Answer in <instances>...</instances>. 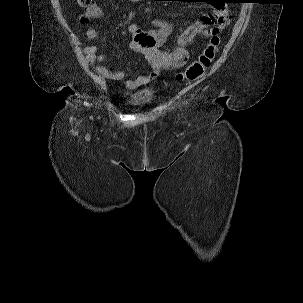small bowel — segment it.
Instances as JSON below:
<instances>
[{
	"mask_svg": "<svg viewBox=\"0 0 303 303\" xmlns=\"http://www.w3.org/2000/svg\"><path fill=\"white\" fill-rule=\"evenodd\" d=\"M138 2L140 0H130ZM104 14L103 8L98 4H92L87 8V17L96 19ZM229 22V11L226 6L215 9L202 15L195 23L185 29L177 38L170 49H162L167 43L171 33L172 25L162 19H154L151 22L152 29L148 32L142 31L138 24H130L128 32L133 35L130 44L132 50L144 55L149 70L147 73L134 80H128L125 87L130 90L141 89L151 84L163 69H177L183 67L189 57L186 45L194 41L197 36L219 33ZM87 35L95 37L96 31L91 27ZM146 39L150 41L147 42ZM97 45L87 46L84 49L86 58L101 78L107 81H119L125 76L121 69L110 70L102 64L106 62L107 56L99 53Z\"/></svg>",
	"mask_w": 303,
	"mask_h": 303,
	"instance_id": "c3829d8e",
	"label": "small bowel"
}]
</instances>
